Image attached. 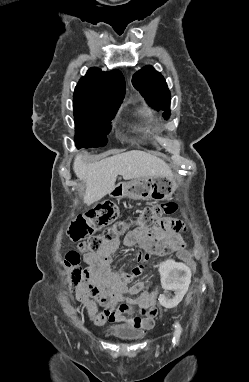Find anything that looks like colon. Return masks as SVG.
<instances>
[{
	"instance_id": "obj_1",
	"label": "colon",
	"mask_w": 249,
	"mask_h": 382,
	"mask_svg": "<svg viewBox=\"0 0 249 382\" xmlns=\"http://www.w3.org/2000/svg\"><path fill=\"white\" fill-rule=\"evenodd\" d=\"M178 208L175 202H166L154 204L144 207L140 210L137 217L133 221H122L116 225L108 227L102 235L90 237L87 241L85 238L90 236L95 230L109 225L117 214L116 207L111 202H105L90 212L79 215L70 225L69 237L79 243L78 251H69L64 258V265L70 271L71 285L76 287L84 277L85 269L80 267V253L82 252H99L102 247L116 238L127 235L131 231L133 225L138 228H150L154 226L165 215L174 213ZM159 250L149 248L144 252L143 260L134 268L132 275L137 281L141 280V275L145 265L149 262L152 256L157 254ZM180 257L185 260L194 258L192 251H180ZM143 281L147 280L146 276L142 277ZM154 308L151 313H155Z\"/></svg>"
}]
</instances>
